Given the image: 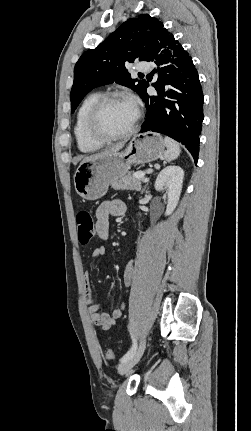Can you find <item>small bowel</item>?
<instances>
[{
	"label": "small bowel",
	"instance_id": "1",
	"mask_svg": "<svg viewBox=\"0 0 251 431\" xmlns=\"http://www.w3.org/2000/svg\"><path fill=\"white\" fill-rule=\"evenodd\" d=\"M126 212V205L121 200L105 201L101 203L96 209V233L98 237L102 240H108L110 237V218L121 217ZM106 248L100 245L94 249L92 252V258L98 259L105 255ZM133 271V262L129 261L125 267L124 271V283L126 286L131 284ZM84 298L86 303V308L91 319V322L102 330H109L114 325L123 314L125 303L121 302L117 307H115L112 313H107L102 311L101 305L93 298L92 291L90 287V271H86L84 274Z\"/></svg>",
	"mask_w": 251,
	"mask_h": 431
}]
</instances>
